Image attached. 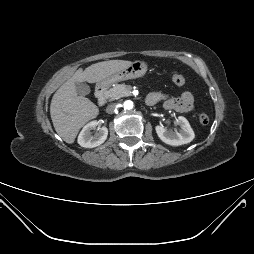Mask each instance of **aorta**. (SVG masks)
Masks as SVG:
<instances>
[{"mask_svg":"<svg viewBox=\"0 0 254 254\" xmlns=\"http://www.w3.org/2000/svg\"><path fill=\"white\" fill-rule=\"evenodd\" d=\"M123 107L127 110H130L133 108V102L130 100H127L123 103Z\"/></svg>","mask_w":254,"mask_h":254,"instance_id":"762f6f07","label":"aorta"}]
</instances>
